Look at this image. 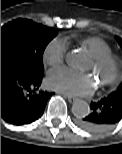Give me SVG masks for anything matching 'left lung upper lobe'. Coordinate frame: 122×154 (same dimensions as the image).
<instances>
[{"label": "left lung upper lobe", "instance_id": "left-lung-upper-lobe-1", "mask_svg": "<svg viewBox=\"0 0 122 154\" xmlns=\"http://www.w3.org/2000/svg\"><path fill=\"white\" fill-rule=\"evenodd\" d=\"M116 38H117V41H118L119 45L122 48V39L119 38V37H116ZM110 95H112L113 99H116V100L122 102V83L120 84L118 89L116 91L112 92Z\"/></svg>", "mask_w": 122, "mask_h": 154}]
</instances>
